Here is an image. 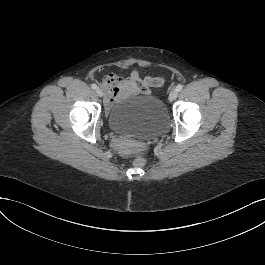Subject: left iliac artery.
I'll list each match as a JSON object with an SVG mask.
<instances>
[{"label": "left iliac artery", "instance_id": "left-iliac-artery-1", "mask_svg": "<svg viewBox=\"0 0 265 265\" xmlns=\"http://www.w3.org/2000/svg\"><path fill=\"white\" fill-rule=\"evenodd\" d=\"M183 89V85L182 84H178L177 86H176V90L177 91H181Z\"/></svg>", "mask_w": 265, "mask_h": 265}]
</instances>
